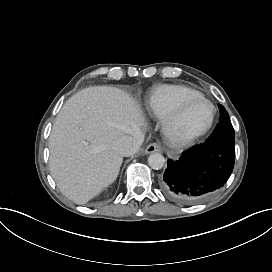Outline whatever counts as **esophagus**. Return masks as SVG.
<instances>
[{
  "instance_id": "esophagus-1",
  "label": "esophagus",
  "mask_w": 272,
  "mask_h": 272,
  "mask_svg": "<svg viewBox=\"0 0 272 272\" xmlns=\"http://www.w3.org/2000/svg\"><path fill=\"white\" fill-rule=\"evenodd\" d=\"M161 151H162V147L158 143H151L145 149L146 154H151L154 152H161Z\"/></svg>"
}]
</instances>
